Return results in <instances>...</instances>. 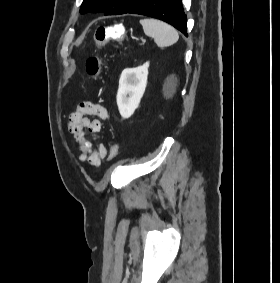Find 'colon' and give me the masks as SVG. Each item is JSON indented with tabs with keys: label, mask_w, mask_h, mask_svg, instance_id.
<instances>
[{
	"label": "colon",
	"mask_w": 280,
	"mask_h": 283,
	"mask_svg": "<svg viewBox=\"0 0 280 283\" xmlns=\"http://www.w3.org/2000/svg\"><path fill=\"white\" fill-rule=\"evenodd\" d=\"M123 34H125V28L122 25H100L95 30L94 44L101 46L110 40L114 42H125L126 38L121 37ZM86 70L92 78L98 79L100 77L101 63L100 58L96 54H92L87 58ZM117 155L118 146L115 145L110 154V159H115Z\"/></svg>",
	"instance_id": "colon-1"
}]
</instances>
